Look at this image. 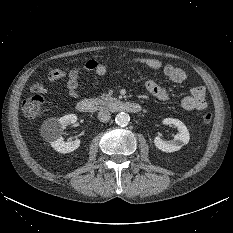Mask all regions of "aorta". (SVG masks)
Returning <instances> with one entry per match:
<instances>
[{
  "label": "aorta",
  "instance_id": "762f6f07",
  "mask_svg": "<svg viewBox=\"0 0 233 233\" xmlns=\"http://www.w3.org/2000/svg\"><path fill=\"white\" fill-rule=\"evenodd\" d=\"M115 122L117 125L124 127L127 126L130 122V117L125 112H120L116 115Z\"/></svg>",
  "mask_w": 233,
  "mask_h": 233
}]
</instances>
